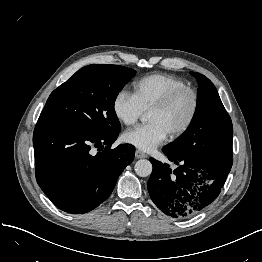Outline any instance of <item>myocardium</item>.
I'll return each mask as SVG.
<instances>
[{"mask_svg": "<svg viewBox=\"0 0 262 262\" xmlns=\"http://www.w3.org/2000/svg\"><path fill=\"white\" fill-rule=\"evenodd\" d=\"M184 94H188L191 97V102H192L191 111L187 120L179 128H177L176 130H174L172 133L169 134V137L171 139H176L181 137L182 135L187 133L189 129L192 127L197 117L199 105H200L198 92L194 88L188 86L177 88L169 92L162 99H160L158 102L153 104L148 110V112L162 111L168 108L174 101H176L179 97H181Z\"/></svg>", "mask_w": 262, "mask_h": 262, "instance_id": "f54148a6", "label": "myocardium"}]
</instances>
